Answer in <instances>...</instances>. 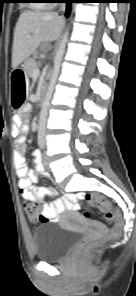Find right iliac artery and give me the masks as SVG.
I'll return each mask as SVG.
<instances>
[{
	"mask_svg": "<svg viewBox=\"0 0 136 296\" xmlns=\"http://www.w3.org/2000/svg\"><path fill=\"white\" fill-rule=\"evenodd\" d=\"M44 148V144H40V149H43Z\"/></svg>",
	"mask_w": 136,
	"mask_h": 296,
	"instance_id": "1",
	"label": "right iliac artery"
}]
</instances>
